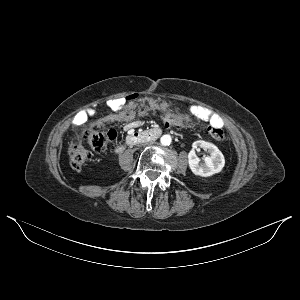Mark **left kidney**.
Instances as JSON below:
<instances>
[{"instance_id":"left-kidney-1","label":"left kidney","mask_w":300,"mask_h":300,"mask_svg":"<svg viewBox=\"0 0 300 300\" xmlns=\"http://www.w3.org/2000/svg\"><path fill=\"white\" fill-rule=\"evenodd\" d=\"M192 150L188 154V163L191 171L198 176L210 177L222 171L225 159L222 152L212 143L203 140L195 141L192 144ZM203 148L210 156L204 158V162L200 163V159L195 150Z\"/></svg>"}]
</instances>
